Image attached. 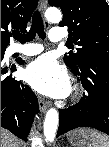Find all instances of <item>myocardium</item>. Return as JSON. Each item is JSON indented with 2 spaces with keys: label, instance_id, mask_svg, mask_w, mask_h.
<instances>
[{
  "label": "myocardium",
  "instance_id": "f54148a6",
  "mask_svg": "<svg viewBox=\"0 0 109 147\" xmlns=\"http://www.w3.org/2000/svg\"><path fill=\"white\" fill-rule=\"evenodd\" d=\"M73 91H74V98H78L79 95H80V88H79V86H75Z\"/></svg>",
  "mask_w": 109,
  "mask_h": 147
}]
</instances>
